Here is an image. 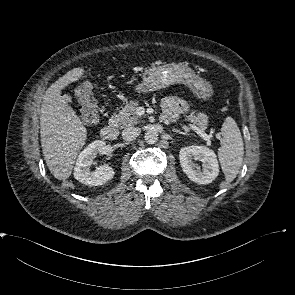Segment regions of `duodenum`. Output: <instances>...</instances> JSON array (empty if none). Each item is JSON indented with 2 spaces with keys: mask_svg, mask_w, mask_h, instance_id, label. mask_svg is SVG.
Here are the masks:
<instances>
[{
  "mask_svg": "<svg viewBox=\"0 0 295 295\" xmlns=\"http://www.w3.org/2000/svg\"><path fill=\"white\" fill-rule=\"evenodd\" d=\"M101 136L107 141H113L118 136V129L116 124H109L101 129Z\"/></svg>",
  "mask_w": 295,
  "mask_h": 295,
  "instance_id": "1",
  "label": "duodenum"
}]
</instances>
